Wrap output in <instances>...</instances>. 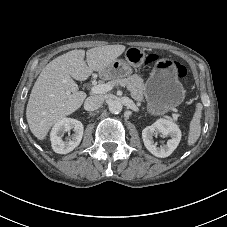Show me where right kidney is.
I'll return each mask as SVG.
<instances>
[{
    "mask_svg": "<svg viewBox=\"0 0 227 227\" xmlns=\"http://www.w3.org/2000/svg\"><path fill=\"white\" fill-rule=\"evenodd\" d=\"M74 131L70 139L64 140L62 136L65 132ZM83 124L72 118H63L59 120L52 128L50 140L52 149L59 154H67L73 151L81 142L83 136Z\"/></svg>",
    "mask_w": 227,
    "mask_h": 227,
    "instance_id": "right-kidney-1",
    "label": "right kidney"
}]
</instances>
